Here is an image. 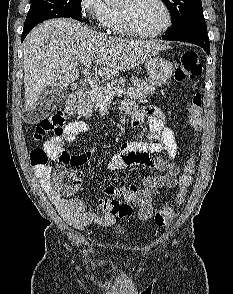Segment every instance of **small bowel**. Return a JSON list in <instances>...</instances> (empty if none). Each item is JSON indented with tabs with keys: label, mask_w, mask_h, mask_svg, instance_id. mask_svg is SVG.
I'll return each mask as SVG.
<instances>
[{
	"label": "small bowel",
	"mask_w": 233,
	"mask_h": 294,
	"mask_svg": "<svg viewBox=\"0 0 233 294\" xmlns=\"http://www.w3.org/2000/svg\"><path fill=\"white\" fill-rule=\"evenodd\" d=\"M121 110L131 116L134 127L140 126L143 122V116L147 115L149 121L148 140L123 143L119 152L110 159L108 168L116 171L140 165L160 171L161 175L144 178L141 186L136 184L124 188L113 185L106 186L104 193L108 198L99 200L102 213L97 214L86 211L82 199L67 200L64 198L54 187L51 168L35 166V173L59 214L67 223L77 229H82L92 223L109 225L117 216L131 215L132 213H121V204H127L132 209L135 208L141 220H149L152 215V195L154 192L160 188H174L178 184L179 168L174 163L178 147L173 132L165 125L160 110L154 107L140 110L129 101L122 103ZM86 132H88V125L85 122H70L60 136L51 139L46 144V148L52 152V159L72 166L87 163L93 154L91 149L78 155H70L63 149L64 142L72 143L80 134ZM160 152H163L164 156L155 158L151 156ZM119 197H122L123 201L118 200Z\"/></svg>",
	"instance_id": "small-bowel-1"
}]
</instances>
